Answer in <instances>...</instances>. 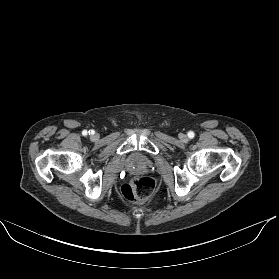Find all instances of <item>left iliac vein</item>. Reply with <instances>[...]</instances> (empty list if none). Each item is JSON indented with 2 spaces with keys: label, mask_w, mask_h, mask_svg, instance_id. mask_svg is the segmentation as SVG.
Here are the masks:
<instances>
[{
  "label": "left iliac vein",
  "mask_w": 279,
  "mask_h": 279,
  "mask_svg": "<svg viewBox=\"0 0 279 279\" xmlns=\"http://www.w3.org/2000/svg\"><path fill=\"white\" fill-rule=\"evenodd\" d=\"M181 141L183 142H187L188 141V137L185 134H182L180 137Z\"/></svg>",
  "instance_id": "obj_1"
}]
</instances>
